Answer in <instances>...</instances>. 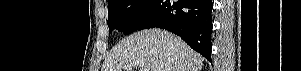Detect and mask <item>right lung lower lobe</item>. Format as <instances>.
Masks as SVG:
<instances>
[{"instance_id":"1","label":"right lung lower lobe","mask_w":301,"mask_h":71,"mask_svg":"<svg viewBox=\"0 0 301 71\" xmlns=\"http://www.w3.org/2000/svg\"><path fill=\"white\" fill-rule=\"evenodd\" d=\"M212 9L211 0H157L142 29L171 31L211 62Z\"/></svg>"}]
</instances>
